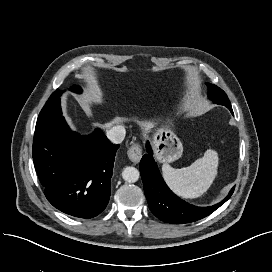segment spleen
Segmentation results:
<instances>
[{"label":"spleen","instance_id":"obj_1","mask_svg":"<svg viewBox=\"0 0 272 272\" xmlns=\"http://www.w3.org/2000/svg\"><path fill=\"white\" fill-rule=\"evenodd\" d=\"M219 157L216 151L207 150L203 157L181 169L163 164L162 174L169 188L178 196L193 199L202 196L217 176Z\"/></svg>","mask_w":272,"mask_h":272}]
</instances>
